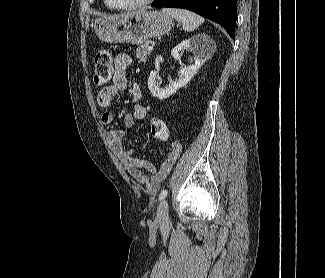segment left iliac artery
<instances>
[{
	"instance_id": "44dca946",
	"label": "left iliac artery",
	"mask_w": 325,
	"mask_h": 278,
	"mask_svg": "<svg viewBox=\"0 0 325 278\" xmlns=\"http://www.w3.org/2000/svg\"><path fill=\"white\" fill-rule=\"evenodd\" d=\"M168 191L167 190H163L161 191L160 195H159V200H163L166 196H167Z\"/></svg>"
}]
</instances>
